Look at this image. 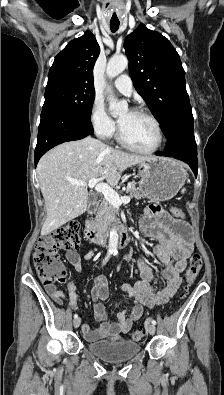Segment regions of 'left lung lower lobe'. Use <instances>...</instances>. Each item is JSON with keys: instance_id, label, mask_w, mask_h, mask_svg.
<instances>
[{"instance_id": "1", "label": "left lung lower lobe", "mask_w": 224, "mask_h": 395, "mask_svg": "<svg viewBox=\"0 0 224 395\" xmlns=\"http://www.w3.org/2000/svg\"><path fill=\"white\" fill-rule=\"evenodd\" d=\"M193 115L186 112L180 115L170 132L165 134L168 139L164 152L158 156L174 157L189 164L195 176H197V146L193 131Z\"/></svg>"}]
</instances>
